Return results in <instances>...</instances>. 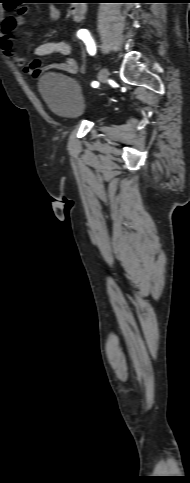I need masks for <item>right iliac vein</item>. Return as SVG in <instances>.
Returning a JSON list of instances; mask_svg holds the SVG:
<instances>
[{
    "mask_svg": "<svg viewBox=\"0 0 190 483\" xmlns=\"http://www.w3.org/2000/svg\"><path fill=\"white\" fill-rule=\"evenodd\" d=\"M107 75H108V71L106 68H103L100 72H99V75H98V80L99 82L101 83H105L106 80H107Z\"/></svg>",
    "mask_w": 190,
    "mask_h": 483,
    "instance_id": "right-iliac-vein-1",
    "label": "right iliac vein"
}]
</instances>
